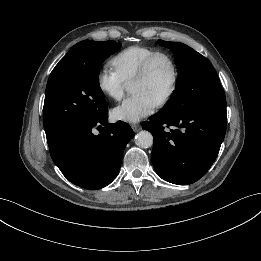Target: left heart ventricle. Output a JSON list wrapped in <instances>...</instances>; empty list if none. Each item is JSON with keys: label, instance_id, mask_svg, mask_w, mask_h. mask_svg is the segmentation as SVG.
I'll list each match as a JSON object with an SVG mask.
<instances>
[{"label": "left heart ventricle", "instance_id": "b2bd125f", "mask_svg": "<svg viewBox=\"0 0 261 261\" xmlns=\"http://www.w3.org/2000/svg\"><path fill=\"white\" fill-rule=\"evenodd\" d=\"M172 79V70L168 60L164 57L158 58L149 75L140 81L132 82L131 92L144 93L156 103L167 93Z\"/></svg>", "mask_w": 261, "mask_h": 261}]
</instances>
